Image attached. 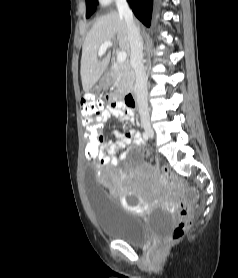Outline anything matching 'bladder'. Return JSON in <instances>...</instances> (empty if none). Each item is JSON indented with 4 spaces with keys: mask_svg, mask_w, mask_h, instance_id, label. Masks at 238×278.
I'll use <instances>...</instances> for the list:
<instances>
[{
    "mask_svg": "<svg viewBox=\"0 0 238 278\" xmlns=\"http://www.w3.org/2000/svg\"><path fill=\"white\" fill-rule=\"evenodd\" d=\"M85 180H96L94 169H85ZM89 205L100 232L108 237L134 246L145 244L153 235L165 233L174 225L173 217L157 211L146 219L126 210L98 181H86Z\"/></svg>",
    "mask_w": 238,
    "mask_h": 278,
    "instance_id": "obj_1",
    "label": "bladder"
}]
</instances>
